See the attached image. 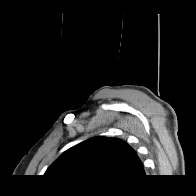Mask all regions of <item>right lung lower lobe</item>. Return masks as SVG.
<instances>
[{"label": "right lung lower lobe", "mask_w": 196, "mask_h": 196, "mask_svg": "<svg viewBox=\"0 0 196 196\" xmlns=\"http://www.w3.org/2000/svg\"><path fill=\"white\" fill-rule=\"evenodd\" d=\"M132 182H130V183H125V184H120V185H128V184H131Z\"/></svg>", "instance_id": "obj_1"}]
</instances>
